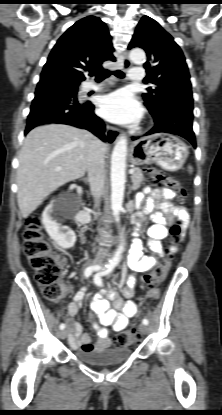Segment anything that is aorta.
I'll return each mask as SVG.
<instances>
[{
  "label": "aorta",
  "instance_id": "1",
  "mask_svg": "<svg viewBox=\"0 0 222 415\" xmlns=\"http://www.w3.org/2000/svg\"><path fill=\"white\" fill-rule=\"evenodd\" d=\"M130 60L141 65L145 62L146 56L142 49H133L129 54ZM126 156H127V139L121 137L113 151L111 156V210L119 222V214L122 209L124 189H125V170H126ZM124 249V243L122 242L110 261L111 264H118L121 258V253Z\"/></svg>",
  "mask_w": 222,
  "mask_h": 415
}]
</instances>
